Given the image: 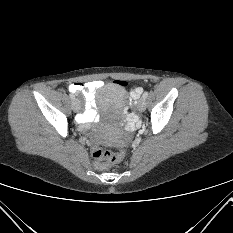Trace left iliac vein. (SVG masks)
Wrapping results in <instances>:
<instances>
[{
    "label": "left iliac vein",
    "instance_id": "obj_1",
    "mask_svg": "<svg viewBox=\"0 0 233 233\" xmlns=\"http://www.w3.org/2000/svg\"><path fill=\"white\" fill-rule=\"evenodd\" d=\"M137 109H138L140 112H143V111L146 109V100H145L144 97H141V98L138 100Z\"/></svg>",
    "mask_w": 233,
    "mask_h": 233
}]
</instances>
